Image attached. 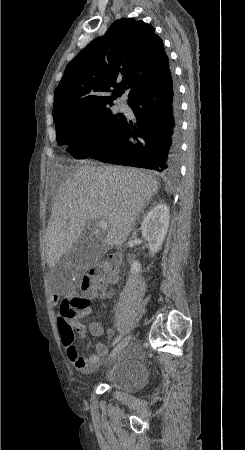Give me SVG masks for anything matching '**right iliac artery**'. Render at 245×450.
<instances>
[{"mask_svg":"<svg viewBox=\"0 0 245 450\" xmlns=\"http://www.w3.org/2000/svg\"><path fill=\"white\" fill-rule=\"evenodd\" d=\"M122 338V335H119L118 337H116L112 343V345H115L116 343H118Z\"/></svg>","mask_w":245,"mask_h":450,"instance_id":"1","label":"right iliac artery"}]
</instances>
